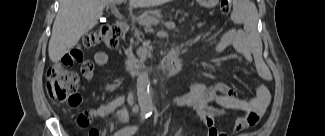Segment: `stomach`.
<instances>
[{
  "label": "stomach",
  "mask_w": 325,
  "mask_h": 136,
  "mask_svg": "<svg viewBox=\"0 0 325 136\" xmlns=\"http://www.w3.org/2000/svg\"><path fill=\"white\" fill-rule=\"evenodd\" d=\"M218 1L217 0H201L199 3L203 6H211L216 4Z\"/></svg>",
  "instance_id": "obj_1"
}]
</instances>
